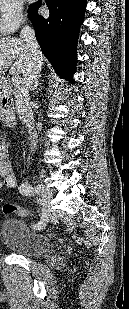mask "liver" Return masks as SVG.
I'll return each mask as SVG.
<instances>
[{"label": "liver", "mask_w": 129, "mask_h": 309, "mask_svg": "<svg viewBox=\"0 0 129 309\" xmlns=\"http://www.w3.org/2000/svg\"><path fill=\"white\" fill-rule=\"evenodd\" d=\"M44 57L41 55V64ZM30 59L27 49L21 39L3 38L0 39V74L9 69V73L19 77L29 67Z\"/></svg>", "instance_id": "obj_1"}]
</instances>
